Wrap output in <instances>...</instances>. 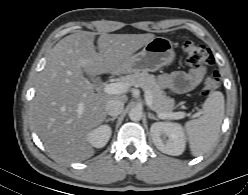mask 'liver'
Segmentation results:
<instances>
[{
    "label": "liver",
    "mask_w": 248,
    "mask_h": 195,
    "mask_svg": "<svg viewBox=\"0 0 248 195\" xmlns=\"http://www.w3.org/2000/svg\"><path fill=\"white\" fill-rule=\"evenodd\" d=\"M94 35L79 31L53 47L33 100L35 131L48 152L60 161H83L93 156L87 135L105 121L106 103L127 100L125 95L95 93L84 73L97 76L122 72L133 54L155 38L150 33H101L97 53Z\"/></svg>",
    "instance_id": "obj_1"
}]
</instances>
